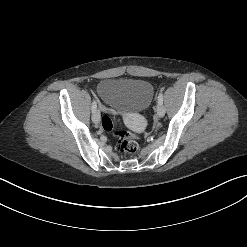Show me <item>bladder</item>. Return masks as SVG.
I'll list each match as a JSON object with an SVG mask.
<instances>
[{
	"label": "bladder",
	"mask_w": 247,
	"mask_h": 247,
	"mask_svg": "<svg viewBox=\"0 0 247 247\" xmlns=\"http://www.w3.org/2000/svg\"><path fill=\"white\" fill-rule=\"evenodd\" d=\"M97 94L116 112L136 113L151 103L153 87L144 80L106 78L98 83Z\"/></svg>",
	"instance_id": "31cf9c89"
}]
</instances>
